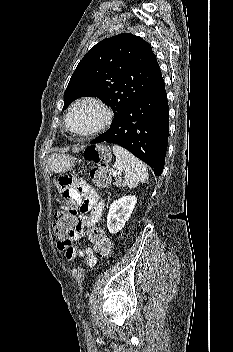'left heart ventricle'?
<instances>
[{"mask_svg": "<svg viewBox=\"0 0 233 352\" xmlns=\"http://www.w3.org/2000/svg\"><path fill=\"white\" fill-rule=\"evenodd\" d=\"M101 118V111L94 105L84 104L77 107L71 115V125L75 130L86 131Z\"/></svg>", "mask_w": 233, "mask_h": 352, "instance_id": "left-heart-ventricle-1", "label": "left heart ventricle"}]
</instances>
